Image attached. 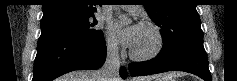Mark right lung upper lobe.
Instances as JSON below:
<instances>
[{"label":"right lung upper lobe","mask_w":237,"mask_h":81,"mask_svg":"<svg viewBox=\"0 0 237 81\" xmlns=\"http://www.w3.org/2000/svg\"><path fill=\"white\" fill-rule=\"evenodd\" d=\"M98 0H45L43 17L55 16H88L96 12L94 7Z\"/></svg>","instance_id":"cb5924a9"}]
</instances>
